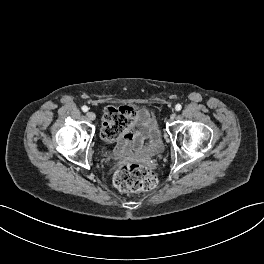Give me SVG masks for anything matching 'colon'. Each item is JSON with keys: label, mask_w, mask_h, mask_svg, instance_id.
<instances>
[{"label": "colon", "mask_w": 264, "mask_h": 264, "mask_svg": "<svg viewBox=\"0 0 264 264\" xmlns=\"http://www.w3.org/2000/svg\"><path fill=\"white\" fill-rule=\"evenodd\" d=\"M134 109L129 106L109 107L105 111L106 125L101 134L105 140L115 141L129 130ZM114 184L122 192L137 193L153 189L157 185L156 175L148 168L135 163L121 164L114 173Z\"/></svg>", "instance_id": "5ec220e1"}]
</instances>
